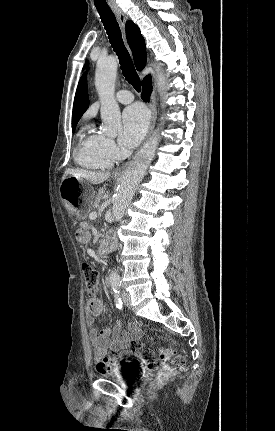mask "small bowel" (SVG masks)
Returning a JSON list of instances; mask_svg holds the SVG:
<instances>
[{
    "label": "small bowel",
    "instance_id": "small-bowel-1",
    "mask_svg": "<svg viewBox=\"0 0 275 431\" xmlns=\"http://www.w3.org/2000/svg\"><path fill=\"white\" fill-rule=\"evenodd\" d=\"M77 240L81 243L89 241V233L85 226L81 227L76 233ZM104 309L103 301L100 298H91L88 300L85 315L86 323L89 328V338L94 348L96 356L104 354L108 350L122 352L125 355L131 354L127 350L128 343L132 338L139 339L142 336V329L136 324L129 325V332H122V325L117 322L111 328L98 330L94 325V320Z\"/></svg>",
    "mask_w": 275,
    "mask_h": 431
}]
</instances>
